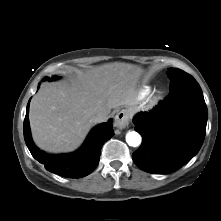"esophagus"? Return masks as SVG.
<instances>
[{
  "instance_id": "esophagus-1",
  "label": "esophagus",
  "mask_w": 221,
  "mask_h": 221,
  "mask_svg": "<svg viewBox=\"0 0 221 221\" xmlns=\"http://www.w3.org/2000/svg\"><path fill=\"white\" fill-rule=\"evenodd\" d=\"M129 124V115L125 111H120L115 116V127L122 130Z\"/></svg>"
}]
</instances>
